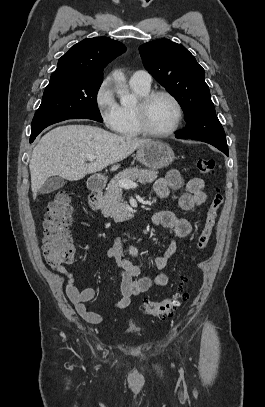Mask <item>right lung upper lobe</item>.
Instances as JSON below:
<instances>
[{
    "label": "right lung upper lobe",
    "instance_id": "right-lung-upper-lobe-1",
    "mask_svg": "<svg viewBox=\"0 0 265 407\" xmlns=\"http://www.w3.org/2000/svg\"><path fill=\"white\" fill-rule=\"evenodd\" d=\"M125 50L126 47L121 42L107 37L84 39L59 59L51 76L64 74L74 78L102 81L103 69Z\"/></svg>",
    "mask_w": 265,
    "mask_h": 407
}]
</instances>
